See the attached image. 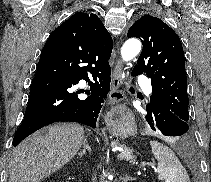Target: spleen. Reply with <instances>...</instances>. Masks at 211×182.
I'll return each mask as SVG.
<instances>
[{"mask_svg":"<svg viewBox=\"0 0 211 182\" xmlns=\"http://www.w3.org/2000/svg\"><path fill=\"white\" fill-rule=\"evenodd\" d=\"M155 159L158 161L157 173L165 182H189V176L176 157L166 145L158 141H150Z\"/></svg>","mask_w":211,"mask_h":182,"instance_id":"obj_1","label":"spleen"}]
</instances>
